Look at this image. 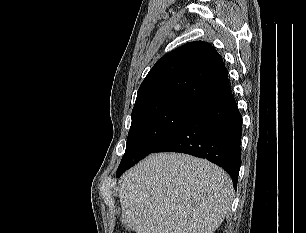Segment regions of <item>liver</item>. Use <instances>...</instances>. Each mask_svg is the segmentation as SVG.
<instances>
[{
    "label": "liver",
    "mask_w": 306,
    "mask_h": 233,
    "mask_svg": "<svg viewBox=\"0 0 306 233\" xmlns=\"http://www.w3.org/2000/svg\"><path fill=\"white\" fill-rule=\"evenodd\" d=\"M233 194L229 175L208 160L150 154L120 184L122 222L136 233H214Z\"/></svg>",
    "instance_id": "1"
}]
</instances>
